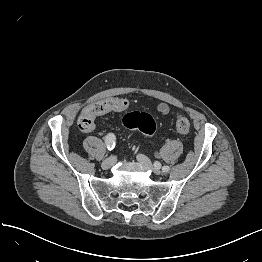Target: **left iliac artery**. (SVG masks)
<instances>
[{
    "mask_svg": "<svg viewBox=\"0 0 262 262\" xmlns=\"http://www.w3.org/2000/svg\"><path fill=\"white\" fill-rule=\"evenodd\" d=\"M170 170L169 166H163L162 171L163 172H168Z\"/></svg>",
    "mask_w": 262,
    "mask_h": 262,
    "instance_id": "left-iliac-artery-1",
    "label": "left iliac artery"
}]
</instances>
